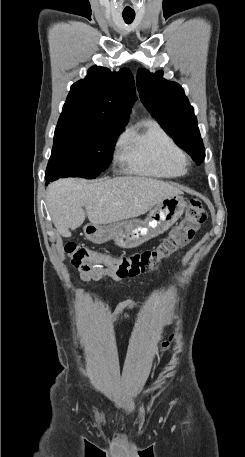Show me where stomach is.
Returning <instances> with one entry per match:
<instances>
[{
  "label": "stomach",
  "instance_id": "obj_1",
  "mask_svg": "<svg viewBox=\"0 0 245 457\" xmlns=\"http://www.w3.org/2000/svg\"><path fill=\"white\" fill-rule=\"evenodd\" d=\"M185 206L186 200L183 196L173 194L159 200L144 220L130 218V220H118L104 226L85 224L83 231L85 237L92 243H106L114 239L115 245L122 249H135L168 231L183 214Z\"/></svg>",
  "mask_w": 245,
  "mask_h": 457
}]
</instances>
